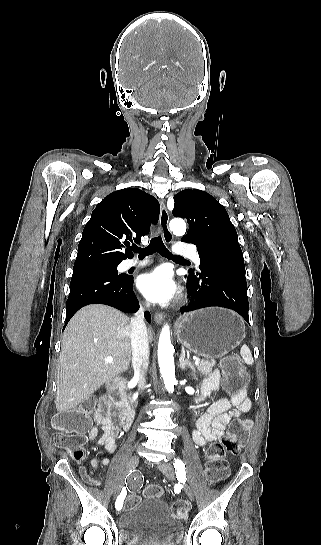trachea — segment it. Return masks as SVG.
Returning a JSON list of instances; mask_svg holds the SVG:
<instances>
[{
	"label": "trachea",
	"mask_w": 321,
	"mask_h": 545,
	"mask_svg": "<svg viewBox=\"0 0 321 545\" xmlns=\"http://www.w3.org/2000/svg\"><path fill=\"white\" fill-rule=\"evenodd\" d=\"M130 249L133 250V252H137L139 254V258H144L147 255H152V253L158 252L162 257H166L174 261H186L184 257L173 255L171 252H169L160 235L152 238L148 247L146 248H139L137 245H132Z\"/></svg>",
	"instance_id": "1"
}]
</instances>
